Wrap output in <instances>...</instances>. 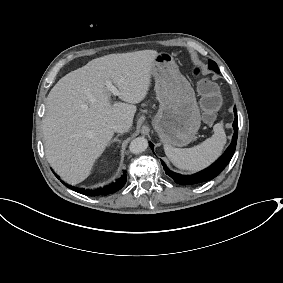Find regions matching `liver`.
<instances>
[{
	"label": "liver",
	"instance_id": "6515ba94",
	"mask_svg": "<svg viewBox=\"0 0 283 283\" xmlns=\"http://www.w3.org/2000/svg\"><path fill=\"white\" fill-rule=\"evenodd\" d=\"M155 50L110 54L61 78L47 96L42 123L46 157L63 180L76 185L86 180L112 140L113 126H133L136 106L152 85ZM120 91L112 102L106 83Z\"/></svg>",
	"mask_w": 283,
	"mask_h": 283
}]
</instances>
